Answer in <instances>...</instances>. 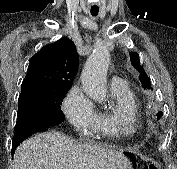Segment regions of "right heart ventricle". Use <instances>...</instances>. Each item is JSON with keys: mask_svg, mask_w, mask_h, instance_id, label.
Instances as JSON below:
<instances>
[{"mask_svg": "<svg viewBox=\"0 0 177 169\" xmlns=\"http://www.w3.org/2000/svg\"><path fill=\"white\" fill-rule=\"evenodd\" d=\"M112 106L96 112L94 129L105 137L131 136L140 128V106L135 93L126 86L112 90Z\"/></svg>", "mask_w": 177, "mask_h": 169, "instance_id": "obj_1", "label": "right heart ventricle"}]
</instances>
